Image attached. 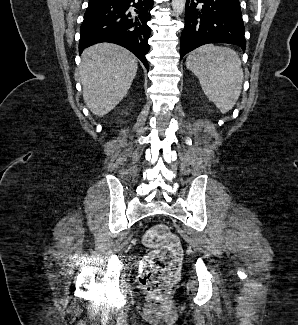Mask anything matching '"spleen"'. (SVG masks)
<instances>
[{"instance_id":"spleen-1","label":"spleen","mask_w":298,"mask_h":325,"mask_svg":"<svg viewBox=\"0 0 298 325\" xmlns=\"http://www.w3.org/2000/svg\"><path fill=\"white\" fill-rule=\"evenodd\" d=\"M186 66L198 76L202 90L220 112H228L238 100L243 82L239 54L228 46L204 44L187 56Z\"/></svg>"}]
</instances>
